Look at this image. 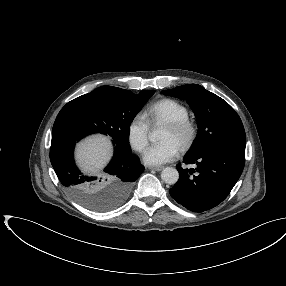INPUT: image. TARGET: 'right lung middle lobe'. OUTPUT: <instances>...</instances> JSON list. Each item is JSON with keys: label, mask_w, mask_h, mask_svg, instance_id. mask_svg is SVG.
I'll return each instance as SVG.
<instances>
[{"label": "right lung middle lobe", "mask_w": 286, "mask_h": 286, "mask_svg": "<svg viewBox=\"0 0 286 286\" xmlns=\"http://www.w3.org/2000/svg\"><path fill=\"white\" fill-rule=\"evenodd\" d=\"M154 93V90H144L133 94L129 90L102 86L67 103L55 123L71 130L79 138L93 133L108 134L117 147L129 148L130 124ZM126 197L123 189L114 195L118 202ZM107 200V196L96 192L80 202L91 210L107 211L116 205V202L104 203Z\"/></svg>", "instance_id": "1"}]
</instances>
